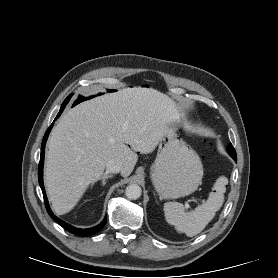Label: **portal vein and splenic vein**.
<instances>
[{"instance_id":"portal-vein-and-splenic-vein-1","label":"portal vein and splenic vein","mask_w":278,"mask_h":278,"mask_svg":"<svg viewBox=\"0 0 278 278\" xmlns=\"http://www.w3.org/2000/svg\"><path fill=\"white\" fill-rule=\"evenodd\" d=\"M185 207H186L187 209L190 208V206L188 205V203L185 204Z\"/></svg>"}]
</instances>
